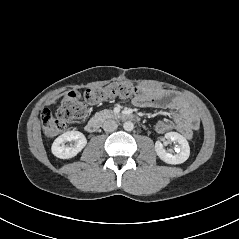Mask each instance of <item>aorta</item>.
Wrapping results in <instances>:
<instances>
[{
    "instance_id": "obj_1",
    "label": "aorta",
    "mask_w": 239,
    "mask_h": 239,
    "mask_svg": "<svg viewBox=\"0 0 239 239\" xmlns=\"http://www.w3.org/2000/svg\"><path fill=\"white\" fill-rule=\"evenodd\" d=\"M123 128L125 131H132L134 129V124L131 121H126L123 124Z\"/></svg>"
}]
</instances>
